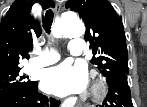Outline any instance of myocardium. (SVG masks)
Returning <instances> with one entry per match:
<instances>
[{
    "instance_id": "f54148a6",
    "label": "myocardium",
    "mask_w": 147,
    "mask_h": 107,
    "mask_svg": "<svg viewBox=\"0 0 147 107\" xmlns=\"http://www.w3.org/2000/svg\"><path fill=\"white\" fill-rule=\"evenodd\" d=\"M105 94L104 84L97 82L92 88L91 95L94 99H100Z\"/></svg>"
}]
</instances>
